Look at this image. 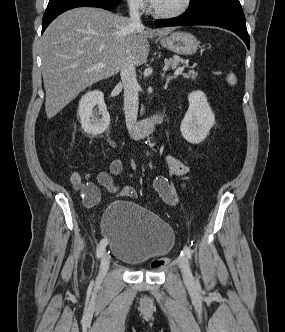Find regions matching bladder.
Returning <instances> with one entry per match:
<instances>
[{
  "mask_svg": "<svg viewBox=\"0 0 285 332\" xmlns=\"http://www.w3.org/2000/svg\"><path fill=\"white\" fill-rule=\"evenodd\" d=\"M101 230L112 256L138 265L166 253L173 245L170 226L148 209L128 201L111 203L104 211Z\"/></svg>",
  "mask_w": 285,
  "mask_h": 332,
  "instance_id": "obj_1",
  "label": "bladder"
}]
</instances>
